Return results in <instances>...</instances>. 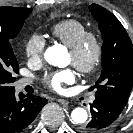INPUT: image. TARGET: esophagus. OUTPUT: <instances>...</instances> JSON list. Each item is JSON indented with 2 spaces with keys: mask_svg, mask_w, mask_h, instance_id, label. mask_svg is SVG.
<instances>
[{
  "mask_svg": "<svg viewBox=\"0 0 133 133\" xmlns=\"http://www.w3.org/2000/svg\"><path fill=\"white\" fill-rule=\"evenodd\" d=\"M57 101L59 103H61L62 105H68L69 104V101L66 99L59 98V99H57Z\"/></svg>",
  "mask_w": 133,
  "mask_h": 133,
  "instance_id": "34e87169",
  "label": "esophagus"
}]
</instances>
